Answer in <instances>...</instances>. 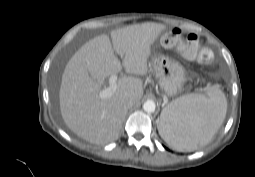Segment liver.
<instances>
[{"label":"liver","mask_w":255,"mask_h":177,"mask_svg":"<svg viewBox=\"0 0 255 177\" xmlns=\"http://www.w3.org/2000/svg\"><path fill=\"white\" fill-rule=\"evenodd\" d=\"M166 27L147 22L130 25L86 42L69 60L62 75L59 103L69 129L86 141L103 145L116 140L127 114L124 102L135 103L143 96V82L135 76H122L111 97L99 93L107 77L121 71L146 75L151 46ZM114 52L123 58L120 60Z\"/></svg>","instance_id":"1"}]
</instances>
